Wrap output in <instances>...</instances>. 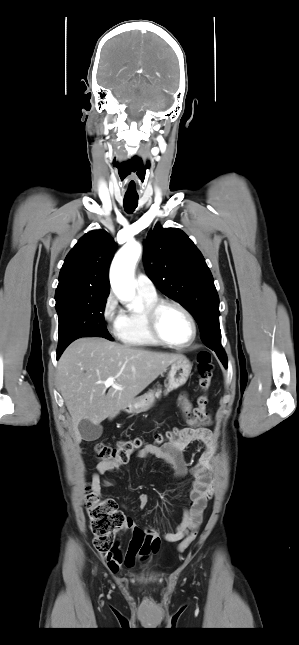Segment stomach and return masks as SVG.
<instances>
[{"label": "stomach", "instance_id": "0dacf381", "mask_svg": "<svg viewBox=\"0 0 299 645\" xmlns=\"http://www.w3.org/2000/svg\"><path fill=\"white\" fill-rule=\"evenodd\" d=\"M192 370L190 361L183 357L171 365L168 373V390H174L186 383ZM158 393L148 392L135 398L124 410L130 414L148 411L153 405Z\"/></svg>", "mask_w": 299, "mask_h": 645}]
</instances>
